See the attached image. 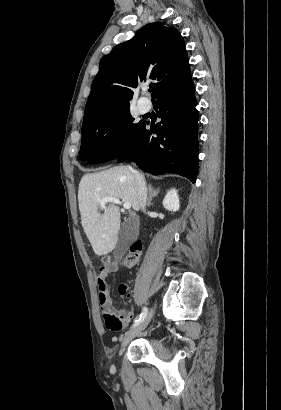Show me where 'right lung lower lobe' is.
Returning a JSON list of instances; mask_svg holds the SVG:
<instances>
[{
  "instance_id": "obj_1",
  "label": "right lung lower lobe",
  "mask_w": 281,
  "mask_h": 410,
  "mask_svg": "<svg viewBox=\"0 0 281 410\" xmlns=\"http://www.w3.org/2000/svg\"><path fill=\"white\" fill-rule=\"evenodd\" d=\"M193 81L153 101L161 122L141 130L118 161L130 160L159 175L176 173L196 182L198 174V110Z\"/></svg>"
}]
</instances>
